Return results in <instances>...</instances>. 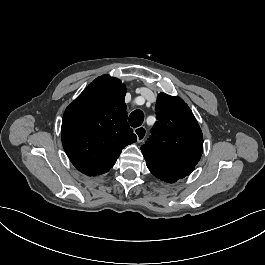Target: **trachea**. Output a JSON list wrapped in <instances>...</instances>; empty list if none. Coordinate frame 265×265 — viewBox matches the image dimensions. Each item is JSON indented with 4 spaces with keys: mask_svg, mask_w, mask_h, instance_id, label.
<instances>
[{
    "mask_svg": "<svg viewBox=\"0 0 265 265\" xmlns=\"http://www.w3.org/2000/svg\"><path fill=\"white\" fill-rule=\"evenodd\" d=\"M143 121H144V113L140 110L133 111L129 116V123L134 128L141 126Z\"/></svg>",
    "mask_w": 265,
    "mask_h": 265,
    "instance_id": "trachea-1",
    "label": "trachea"
}]
</instances>
